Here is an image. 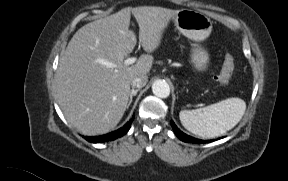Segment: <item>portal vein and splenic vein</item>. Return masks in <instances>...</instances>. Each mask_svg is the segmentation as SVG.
Here are the masks:
<instances>
[{"mask_svg":"<svg viewBox=\"0 0 288 181\" xmlns=\"http://www.w3.org/2000/svg\"><path fill=\"white\" fill-rule=\"evenodd\" d=\"M136 60H137V59H136L135 57L127 58L126 60H124V64H125L126 66H129V65L135 63ZM108 65H109L110 67H114V66H115V65L112 64V63H109Z\"/></svg>","mask_w":288,"mask_h":181,"instance_id":"portal-vein-and-splenic-vein-1","label":"portal vein and splenic vein"}]
</instances>
